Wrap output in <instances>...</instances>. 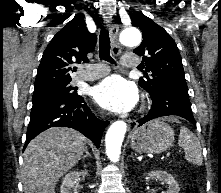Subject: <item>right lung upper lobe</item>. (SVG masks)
<instances>
[{"label": "right lung upper lobe", "mask_w": 221, "mask_h": 193, "mask_svg": "<svg viewBox=\"0 0 221 193\" xmlns=\"http://www.w3.org/2000/svg\"><path fill=\"white\" fill-rule=\"evenodd\" d=\"M97 37L87 30L84 18L76 15L56 33L45 49L35 80V86L71 81L73 64L88 61Z\"/></svg>", "instance_id": "right-lung-upper-lobe-1"}]
</instances>
